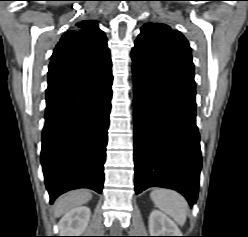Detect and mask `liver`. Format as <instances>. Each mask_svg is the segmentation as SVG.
<instances>
[{
    "label": "liver",
    "mask_w": 248,
    "mask_h": 237,
    "mask_svg": "<svg viewBox=\"0 0 248 237\" xmlns=\"http://www.w3.org/2000/svg\"><path fill=\"white\" fill-rule=\"evenodd\" d=\"M92 198L88 190H75L58 198L54 204V215L60 217L73 208L87 203Z\"/></svg>",
    "instance_id": "liver-1"
}]
</instances>
